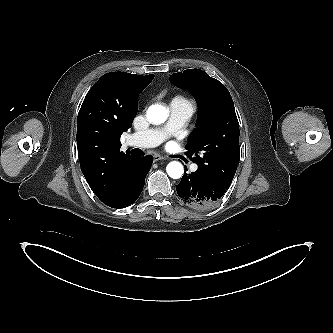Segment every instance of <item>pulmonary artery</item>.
Segmentation results:
<instances>
[{
    "instance_id": "1",
    "label": "pulmonary artery",
    "mask_w": 333,
    "mask_h": 333,
    "mask_svg": "<svg viewBox=\"0 0 333 333\" xmlns=\"http://www.w3.org/2000/svg\"><path fill=\"white\" fill-rule=\"evenodd\" d=\"M194 112V105L181 99H173L170 103V117L161 128L148 129L133 133L129 137V144L140 148L155 147L166 138L186 125ZM191 170H197V165H192Z\"/></svg>"
}]
</instances>
